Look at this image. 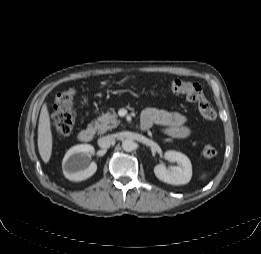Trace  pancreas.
Instances as JSON below:
<instances>
[{
	"label": "pancreas",
	"instance_id": "cf45deb5",
	"mask_svg": "<svg viewBox=\"0 0 261 254\" xmlns=\"http://www.w3.org/2000/svg\"><path fill=\"white\" fill-rule=\"evenodd\" d=\"M117 114L113 111L102 114L97 120L91 125L98 132V134H103L108 130L116 128L119 125V120L117 119Z\"/></svg>",
	"mask_w": 261,
	"mask_h": 254
}]
</instances>
